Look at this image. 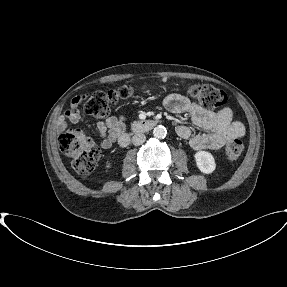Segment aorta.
Returning a JSON list of instances; mask_svg holds the SVG:
<instances>
[{"label":"aorta","mask_w":287,"mask_h":287,"mask_svg":"<svg viewBox=\"0 0 287 287\" xmlns=\"http://www.w3.org/2000/svg\"><path fill=\"white\" fill-rule=\"evenodd\" d=\"M166 135L167 129L162 125H158L153 129V136L157 139H164Z\"/></svg>","instance_id":"obj_1"}]
</instances>
